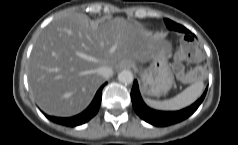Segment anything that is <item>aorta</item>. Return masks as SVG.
I'll return each instance as SVG.
<instances>
[{
	"instance_id": "obj_1",
	"label": "aorta",
	"mask_w": 238,
	"mask_h": 145,
	"mask_svg": "<svg viewBox=\"0 0 238 145\" xmlns=\"http://www.w3.org/2000/svg\"><path fill=\"white\" fill-rule=\"evenodd\" d=\"M118 80L124 84H131L133 82V74L130 70H122L118 74Z\"/></svg>"
}]
</instances>
